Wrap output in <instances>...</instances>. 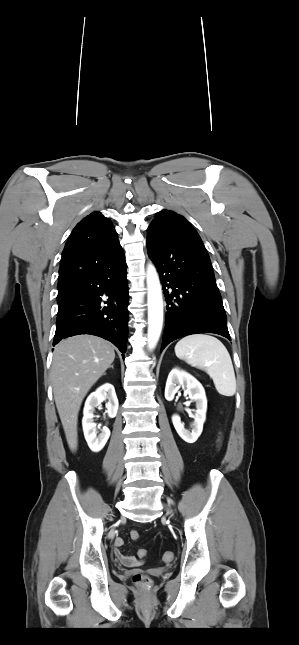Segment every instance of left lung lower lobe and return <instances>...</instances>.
I'll return each instance as SVG.
<instances>
[{
  "label": "left lung lower lobe",
  "mask_w": 299,
  "mask_h": 645,
  "mask_svg": "<svg viewBox=\"0 0 299 645\" xmlns=\"http://www.w3.org/2000/svg\"><path fill=\"white\" fill-rule=\"evenodd\" d=\"M146 244L167 302L161 350L190 334L215 333L231 340L211 261L197 231L184 224L150 228Z\"/></svg>",
  "instance_id": "left-lung-lower-lobe-1"
}]
</instances>
